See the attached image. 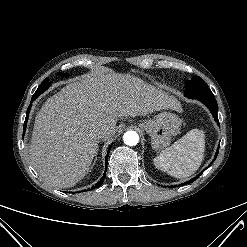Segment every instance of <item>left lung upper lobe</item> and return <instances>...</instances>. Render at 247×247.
I'll return each mask as SVG.
<instances>
[{
  "label": "left lung upper lobe",
  "instance_id": "left-lung-upper-lobe-1",
  "mask_svg": "<svg viewBox=\"0 0 247 247\" xmlns=\"http://www.w3.org/2000/svg\"><path fill=\"white\" fill-rule=\"evenodd\" d=\"M184 95L190 99L214 97L212 91L200 77H193L186 82Z\"/></svg>",
  "mask_w": 247,
  "mask_h": 247
}]
</instances>
